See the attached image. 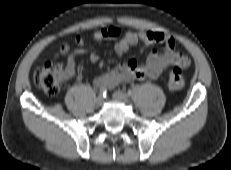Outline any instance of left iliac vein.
<instances>
[{
	"instance_id": "4c4485c4",
	"label": "left iliac vein",
	"mask_w": 231,
	"mask_h": 170,
	"mask_svg": "<svg viewBox=\"0 0 231 170\" xmlns=\"http://www.w3.org/2000/svg\"><path fill=\"white\" fill-rule=\"evenodd\" d=\"M113 98L114 100L120 101V102H128V99H129L128 95L121 91H115L113 93Z\"/></svg>"
}]
</instances>
